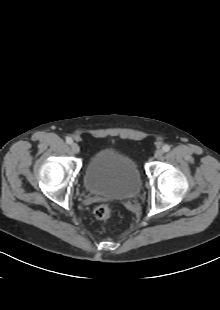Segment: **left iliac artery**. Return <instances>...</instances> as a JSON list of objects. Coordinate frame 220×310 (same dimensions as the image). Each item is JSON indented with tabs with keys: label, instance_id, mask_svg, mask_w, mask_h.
I'll use <instances>...</instances> for the list:
<instances>
[{
	"label": "left iliac artery",
	"instance_id": "obj_1",
	"mask_svg": "<svg viewBox=\"0 0 220 310\" xmlns=\"http://www.w3.org/2000/svg\"><path fill=\"white\" fill-rule=\"evenodd\" d=\"M162 149H163L164 152H168L170 150V146L169 145H164L162 147Z\"/></svg>",
	"mask_w": 220,
	"mask_h": 310
}]
</instances>
